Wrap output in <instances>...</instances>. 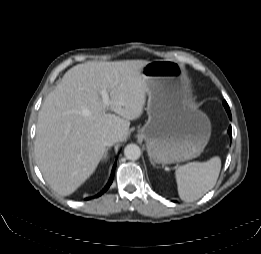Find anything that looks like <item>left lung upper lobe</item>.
<instances>
[{"label": "left lung upper lobe", "mask_w": 261, "mask_h": 254, "mask_svg": "<svg viewBox=\"0 0 261 254\" xmlns=\"http://www.w3.org/2000/svg\"><path fill=\"white\" fill-rule=\"evenodd\" d=\"M223 105H224V107H225L226 111H227V112H229V111H230V109H229V106H228V104H227V102H226V101H224V102H223Z\"/></svg>", "instance_id": "1"}]
</instances>
